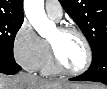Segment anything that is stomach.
Listing matches in <instances>:
<instances>
[{"mask_svg":"<svg viewBox=\"0 0 107 89\" xmlns=\"http://www.w3.org/2000/svg\"><path fill=\"white\" fill-rule=\"evenodd\" d=\"M79 88H82V87H79ZM58 89H78V88H74V87H71V86H68V85H65V86H62Z\"/></svg>","mask_w":107,"mask_h":89,"instance_id":"obj_1","label":"stomach"}]
</instances>
